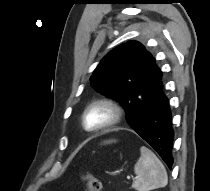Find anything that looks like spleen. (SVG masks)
I'll return each instance as SVG.
<instances>
[{
  "instance_id": "1",
  "label": "spleen",
  "mask_w": 210,
  "mask_h": 191,
  "mask_svg": "<svg viewBox=\"0 0 210 191\" xmlns=\"http://www.w3.org/2000/svg\"><path fill=\"white\" fill-rule=\"evenodd\" d=\"M141 156L134 166L137 175L132 187L137 191H150L165 187L168 183L166 169L157 156L148 148H140Z\"/></svg>"
}]
</instances>
